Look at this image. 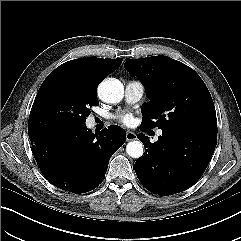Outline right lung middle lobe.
I'll return each mask as SVG.
<instances>
[{"label":"right lung middle lobe","instance_id":"right-lung-middle-lobe-1","mask_svg":"<svg viewBox=\"0 0 241 241\" xmlns=\"http://www.w3.org/2000/svg\"><path fill=\"white\" fill-rule=\"evenodd\" d=\"M96 95L86 93L65 75L47 77L34 100L28 134L68 129L85 125L89 108L98 105Z\"/></svg>","mask_w":241,"mask_h":241}]
</instances>
